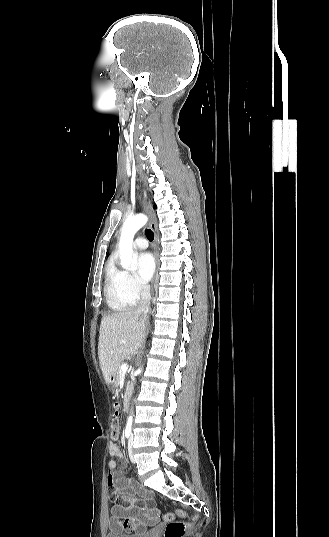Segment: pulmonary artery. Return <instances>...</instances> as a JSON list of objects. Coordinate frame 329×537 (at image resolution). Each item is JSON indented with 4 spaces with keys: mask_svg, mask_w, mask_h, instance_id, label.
<instances>
[{
    "mask_svg": "<svg viewBox=\"0 0 329 537\" xmlns=\"http://www.w3.org/2000/svg\"><path fill=\"white\" fill-rule=\"evenodd\" d=\"M133 246L135 249L143 250L148 247V242L145 238L139 237L134 241Z\"/></svg>",
    "mask_w": 329,
    "mask_h": 537,
    "instance_id": "1",
    "label": "pulmonary artery"
}]
</instances>
